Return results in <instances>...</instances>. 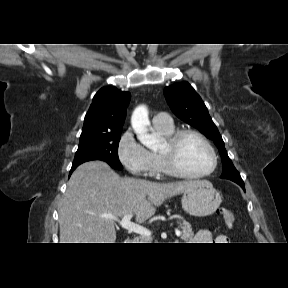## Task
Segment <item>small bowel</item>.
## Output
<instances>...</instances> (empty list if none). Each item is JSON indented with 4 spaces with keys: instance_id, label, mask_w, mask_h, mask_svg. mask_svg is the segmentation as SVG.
<instances>
[{
    "instance_id": "1",
    "label": "small bowel",
    "mask_w": 288,
    "mask_h": 288,
    "mask_svg": "<svg viewBox=\"0 0 288 288\" xmlns=\"http://www.w3.org/2000/svg\"><path fill=\"white\" fill-rule=\"evenodd\" d=\"M194 242L196 243H229V238L224 234H218L217 236L213 237L212 233L209 230L202 229L199 230L195 237Z\"/></svg>"
}]
</instances>
